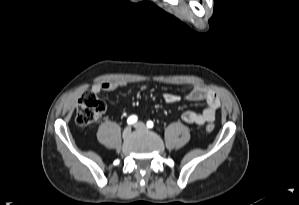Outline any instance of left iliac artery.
<instances>
[{
    "instance_id": "44dca946",
    "label": "left iliac artery",
    "mask_w": 299,
    "mask_h": 205,
    "mask_svg": "<svg viewBox=\"0 0 299 205\" xmlns=\"http://www.w3.org/2000/svg\"><path fill=\"white\" fill-rule=\"evenodd\" d=\"M153 126H154V123L152 121L147 122V127L148 128H153Z\"/></svg>"
}]
</instances>
